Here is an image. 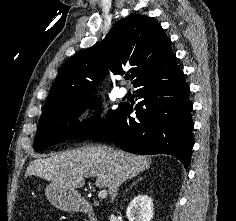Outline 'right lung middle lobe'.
Instances as JSON below:
<instances>
[{"instance_id": "obj_1", "label": "right lung middle lobe", "mask_w": 236, "mask_h": 221, "mask_svg": "<svg viewBox=\"0 0 236 221\" xmlns=\"http://www.w3.org/2000/svg\"><path fill=\"white\" fill-rule=\"evenodd\" d=\"M123 105L124 103H120L118 109L110 110L107 119H101L98 114L83 123L76 120L82 112L87 108L101 107V100L95 95L77 98L57 108L43 111L38 123L34 149L41 151L65 140L90 136L102 129Z\"/></svg>"}]
</instances>
